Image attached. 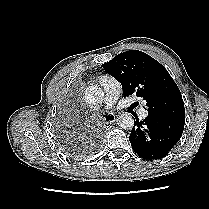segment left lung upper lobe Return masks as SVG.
<instances>
[{"instance_id": "obj_1", "label": "left lung upper lobe", "mask_w": 209, "mask_h": 209, "mask_svg": "<svg viewBox=\"0 0 209 209\" xmlns=\"http://www.w3.org/2000/svg\"><path fill=\"white\" fill-rule=\"evenodd\" d=\"M102 66L121 83L124 97L136 94L146 100L148 115L185 123L180 90L164 66L154 58L130 50Z\"/></svg>"}]
</instances>
